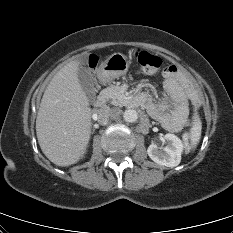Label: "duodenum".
I'll return each mask as SVG.
<instances>
[{"label":"duodenum","instance_id":"1","mask_svg":"<svg viewBox=\"0 0 233 233\" xmlns=\"http://www.w3.org/2000/svg\"><path fill=\"white\" fill-rule=\"evenodd\" d=\"M136 103H140L142 102V97H138L135 99ZM95 107L97 109H101L106 105V96L104 94H101L98 96V98L96 99L95 103H94Z\"/></svg>","mask_w":233,"mask_h":233}]
</instances>
